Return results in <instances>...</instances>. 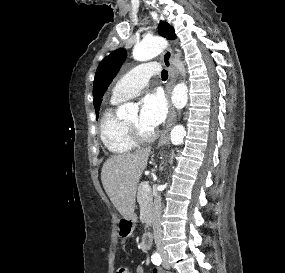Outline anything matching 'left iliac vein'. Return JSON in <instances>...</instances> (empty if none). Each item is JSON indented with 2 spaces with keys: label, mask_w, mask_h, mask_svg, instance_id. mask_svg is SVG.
I'll use <instances>...</instances> for the list:
<instances>
[{
  "label": "left iliac vein",
  "mask_w": 285,
  "mask_h": 273,
  "mask_svg": "<svg viewBox=\"0 0 285 273\" xmlns=\"http://www.w3.org/2000/svg\"><path fill=\"white\" fill-rule=\"evenodd\" d=\"M163 267L165 268V269H169V263H168V261H167V259L164 257V260H163Z\"/></svg>",
  "instance_id": "4c4485c4"
}]
</instances>
